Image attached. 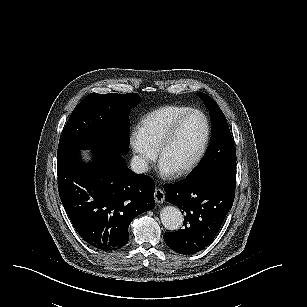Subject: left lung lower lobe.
I'll return each instance as SVG.
<instances>
[{"instance_id":"0a47b994","label":"left lung lower lobe","mask_w":307,"mask_h":307,"mask_svg":"<svg viewBox=\"0 0 307 307\" xmlns=\"http://www.w3.org/2000/svg\"><path fill=\"white\" fill-rule=\"evenodd\" d=\"M236 176L210 172L166 184V201L185 213L184 228L165 233L164 241L172 250L190 255L203 250L218 233L235 197Z\"/></svg>"}]
</instances>
